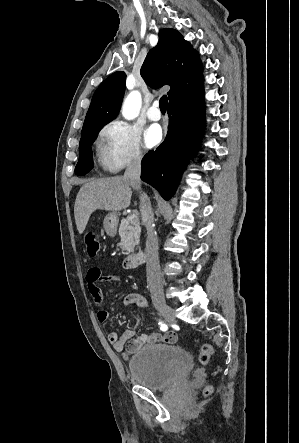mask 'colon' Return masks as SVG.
<instances>
[{"instance_id": "obj_1", "label": "colon", "mask_w": 299, "mask_h": 443, "mask_svg": "<svg viewBox=\"0 0 299 443\" xmlns=\"http://www.w3.org/2000/svg\"><path fill=\"white\" fill-rule=\"evenodd\" d=\"M83 243L89 256L94 257L99 253L100 243L97 234L93 231H86L83 235ZM213 354V347L210 344H204L201 347L199 361L202 365L207 364L210 356ZM211 392V387L206 389V394Z\"/></svg>"}]
</instances>
